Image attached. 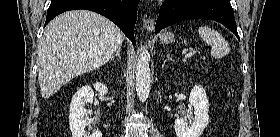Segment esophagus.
I'll list each match as a JSON object with an SVG mask.
<instances>
[{
  "mask_svg": "<svg viewBox=\"0 0 280 137\" xmlns=\"http://www.w3.org/2000/svg\"><path fill=\"white\" fill-rule=\"evenodd\" d=\"M143 26L150 32L154 29V19H144Z\"/></svg>",
  "mask_w": 280,
  "mask_h": 137,
  "instance_id": "esophagus-1",
  "label": "esophagus"
}]
</instances>
